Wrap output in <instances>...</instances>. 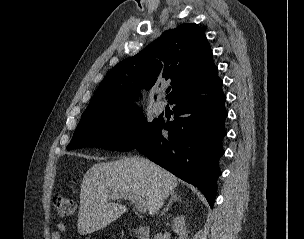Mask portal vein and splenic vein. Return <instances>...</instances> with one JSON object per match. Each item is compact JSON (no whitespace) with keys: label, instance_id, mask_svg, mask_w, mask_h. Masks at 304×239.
<instances>
[{"label":"portal vein and splenic vein","instance_id":"1","mask_svg":"<svg viewBox=\"0 0 304 239\" xmlns=\"http://www.w3.org/2000/svg\"><path fill=\"white\" fill-rule=\"evenodd\" d=\"M112 199H123L130 201L135 204L136 208L139 212L143 213L146 211V203L143 199L137 197L136 195L130 193H123V194H112L110 195Z\"/></svg>","mask_w":304,"mask_h":239}]
</instances>
